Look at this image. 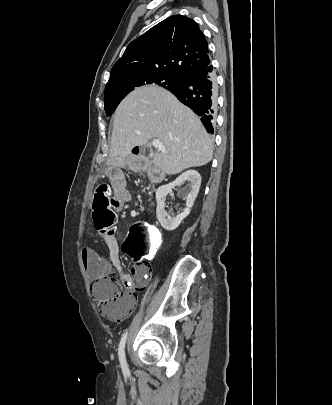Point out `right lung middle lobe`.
Listing matches in <instances>:
<instances>
[{"label":"right lung middle lobe","instance_id":"1","mask_svg":"<svg viewBox=\"0 0 332 405\" xmlns=\"http://www.w3.org/2000/svg\"><path fill=\"white\" fill-rule=\"evenodd\" d=\"M181 79L182 76L178 75L150 72L119 76L106 85L104 95L105 112L107 115H111L121 100L136 87L156 84L167 89L177 85Z\"/></svg>","mask_w":332,"mask_h":405}]
</instances>
